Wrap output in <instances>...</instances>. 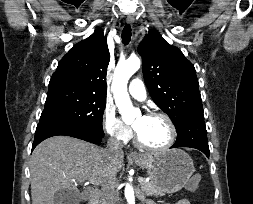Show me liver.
<instances>
[{
  "label": "liver",
  "mask_w": 253,
  "mask_h": 204,
  "mask_svg": "<svg viewBox=\"0 0 253 204\" xmlns=\"http://www.w3.org/2000/svg\"><path fill=\"white\" fill-rule=\"evenodd\" d=\"M124 154L68 136H54L40 143L31 156L32 204H54L61 189L77 191L78 183H106L123 166Z\"/></svg>",
  "instance_id": "liver-1"
}]
</instances>
